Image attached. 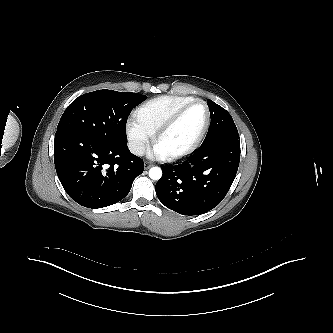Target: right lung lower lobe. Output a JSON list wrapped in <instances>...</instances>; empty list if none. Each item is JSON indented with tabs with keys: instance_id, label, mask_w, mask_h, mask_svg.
<instances>
[{
	"instance_id": "98d812e1",
	"label": "right lung lower lobe",
	"mask_w": 333,
	"mask_h": 333,
	"mask_svg": "<svg viewBox=\"0 0 333 333\" xmlns=\"http://www.w3.org/2000/svg\"><path fill=\"white\" fill-rule=\"evenodd\" d=\"M54 163L67 194L92 209L122 200L143 172V160L129 151L127 143H108L74 133L55 135Z\"/></svg>"
}]
</instances>
